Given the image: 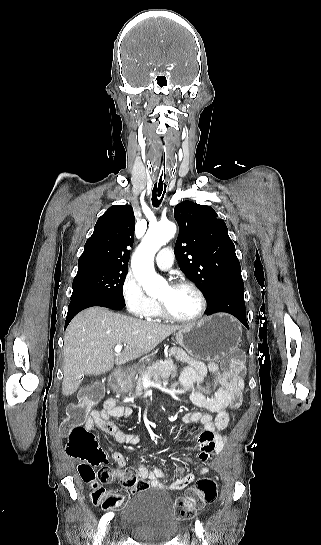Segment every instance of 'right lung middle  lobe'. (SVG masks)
I'll return each instance as SVG.
<instances>
[{"label":"right lung middle lobe","instance_id":"right-lung-middle-lobe-1","mask_svg":"<svg viewBox=\"0 0 321 545\" xmlns=\"http://www.w3.org/2000/svg\"><path fill=\"white\" fill-rule=\"evenodd\" d=\"M128 268L88 266L78 268L72 283L71 302L78 298H100L125 303L123 284Z\"/></svg>","mask_w":321,"mask_h":545}]
</instances>
